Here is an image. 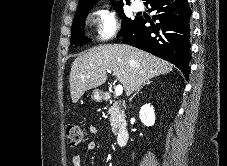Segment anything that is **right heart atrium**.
<instances>
[{"label": "right heart atrium", "mask_w": 227, "mask_h": 166, "mask_svg": "<svg viewBox=\"0 0 227 166\" xmlns=\"http://www.w3.org/2000/svg\"><path fill=\"white\" fill-rule=\"evenodd\" d=\"M91 19L95 24L96 37L107 41L117 34L120 26L117 14L108 8H99L93 11Z\"/></svg>", "instance_id": "obj_1"}]
</instances>
